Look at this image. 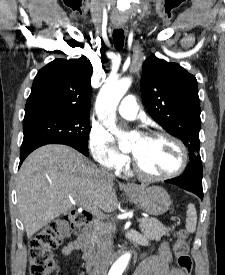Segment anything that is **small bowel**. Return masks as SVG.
<instances>
[{"label": "small bowel", "instance_id": "obj_1", "mask_svg": "<svg viewBox=\"0 0 225 275\" xmlns=\"http://www.w3.org/2000/svg\"><path fill=\"white\" fill-rule=\"evenodd\" d=\"M78 252V242L73 240L62 248V254L68 256ZM134 275H184L183 272L171 265V255L166 243L159 247L157 255L144 257Z\"/></svg>", "mask_w": 225, "mask_h": 275}]
</instances>
